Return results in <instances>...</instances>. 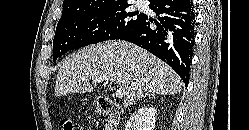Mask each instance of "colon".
Segmentation results:
<instances>
[{"instance_id":"colon-1","label":"colon","mask_w":249,"mask_h":130,"mask_svg":"<svg viewBox=\"0 0 249 130\" xmlns=\"http://www.w3.org/2000/svg\"><path fill=\"white\" fill-rule=\"evenodd\" d=\"M59 128L60 130H81V126L70 117H61Z\"/></svg>"}]
</instances>
